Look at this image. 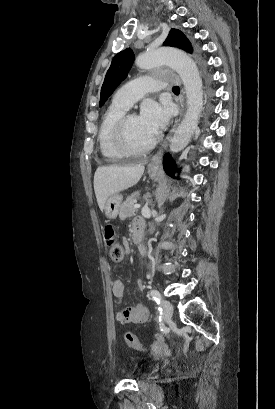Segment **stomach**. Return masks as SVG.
<instances>
[{"label":"stomach","mask_w":275,"mask_h":409,"mask_svg":"<svg viewBox=\"0 0 275 409\" xmlns=\"http://www.w3.org/2000/svg\"><path fill=\"white\" fill-rule=\"evenodd\" d=\"M148 172L151 178H154V176H157L159 168H154V166H149L148 164ZM122 200V194H117V192L116 194H110V196H108L104 207L107 219H116L121 207Z\"/></svg>","instance_id":"stomach-1"}]
</instances>
